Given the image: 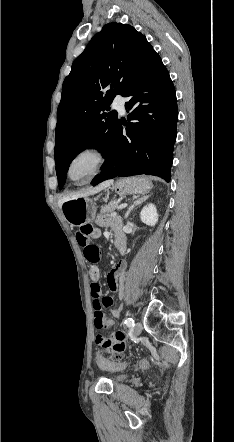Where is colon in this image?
<instances>
[{"label": "colon", "mask_w": 234, "mask_h": 442, "mask_svg": "<svg viewBox=\"0 0 234 442\" xmlns=\"http://www.w3.org/2000/svg\"><path fill=\"white\" fill-rule=\"evenodd\" d=\"M94 228L91 225H85L80 228L77 232L76 238L80 246L84 248V256L91 263H97L100 259L99 247L90 242L92 235L94 233ZM100 277L99 268L92 266L90 269V278L93 281L92 296H93V306H94V316L95 314H105V309L109 307V300L107 297H102L100 286L97 281ZM125 350V349H122ZM95 366L99 367L100 370L113 371L115 368H121L122 365H115V363L102 357L100 352L95 354ZM120 360V359H118Z\"/></svg>", "instance_id": "1"}]
</instances>
